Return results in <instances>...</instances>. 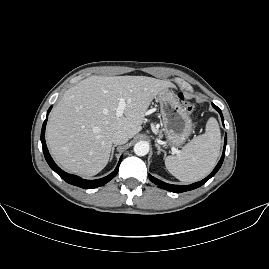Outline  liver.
Segmentation results:
<instances>
[{"label":"liver","instance_id":"1","mask_svg":"<svg viewBox=\"0 0 269 269\" xmlns=\"http://www.w3.org/2000/svg\"><path fill=\"white\" fill-rule=\"evenodd\" d=\"M170 88H175L170 81L146 76L82 80L64 93L49 119L46 140L52 155L69 172L98 174L109 162L112 135L122 130L132 139L154 98ZM120 99L127 107L117 116Z\"/></svg>","mask_w":269,"mask_h":269}]
</instances>
